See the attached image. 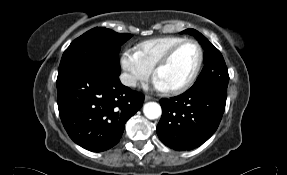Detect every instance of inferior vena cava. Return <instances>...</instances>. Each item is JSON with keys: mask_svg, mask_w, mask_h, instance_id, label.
<instances>
[{"mask_svg": "<svg viewBox=\"0 0 287 175\" xmlns=\"http://www.w3.org/2000/svg\"><path fill=\"white\" fill-rule=\"evenodd\" d=\"M120 80L122 82L123 85L125 86H136V79L135 77H133L132 75L130 74H127V73H122L120 75Z\"/></svg>", "mask_w": 287, "mask_h": 175, "instance_id": "1", "label": "inferior vena cava"}]
</instances>
